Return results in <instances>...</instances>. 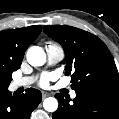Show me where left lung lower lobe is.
<instances>
[{"label": "left lung lower lobe", "mask_w": 119, "mask_h": 119, "mask_svg": "<svg viewBox=\"0 0 119 119\" xmlns=\"http://www.w3.org/2000/svg\"><path fill=\"white\" fill-rule=\"evenodd\" d=\"M59 107L53 119H119V95L111 93L76 92V98L55 95Z\"/></svg>", "instance_id": "1"}]
</instances>
